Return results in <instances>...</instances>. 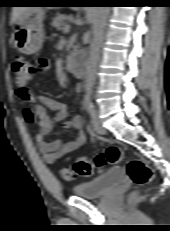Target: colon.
Masks as SVG:
<instances>
[{"label": "colon", "instance_id": "colon-1", "mask_svg": "<svg viewBox=\"0 0 170 231\" xmlns=\"http://www.w3.org/2000/svg\"><path fill=\"white\" fill-rule=\"evenodd\" d=\"M11 69L17 88L26 87L35 74L34 65L21 56L13 59ZM124 159L125 153L121 148L118 146H110L93 160L86 157L76 158L73 163V168L60 167L58 174L64 181L71 182L74 181L77 176H91L104 165L118 164ZM127 174L137 186L150 183L154 177L153 170L143 160L138 158H132L127 161Z\"/></svg>", "mask_w": 170, "mask_h": 231}]
</instances>
